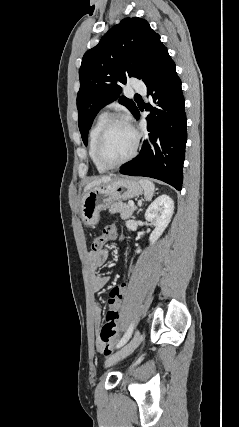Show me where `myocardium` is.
I'll use <instances>...</instances> for the list:
<instances>
[{
    "instance_id": "1",
    "label": "myocardium",
    "mask_w": 239,
    "mask_h": 427,
    "mask_svg": "<svg viewBox=\"0 0 239 427\" xmlns=\"http://www.w3.org/2000/svg\"><path fill=\"white\" fill-rule=\"evenodd\" d=\"M117 124H125L133 131L134 144L131 152L125 158L115 163H109L102 158L101 149L107 134ZM140 140H141V135L139 131L127 117L123 115L113 116L108 119V121L105 123V125L103 126V128L101 129L97 137L96 144H95V158L97 162L105 169H114V168L120 167L126 164L127 162L131 161L137 155L139 145H140Z\"/></svg>"
}]
</instances>
